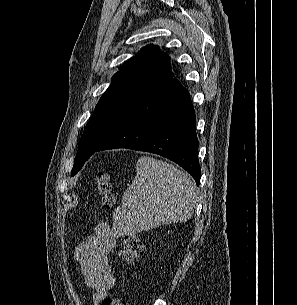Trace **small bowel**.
Listing matches in <instances>:
<instances>
[{"mask_svg":"<svg viewBox=\"0 0 297 305\" xmlns=\"http://www.w3.org/2000/svg\"><path fill=\"white\" fill-rule=\"evenodd\" d=\"M117 239V234L110 225L102 222L97 225L95 233L79 243L74 250V259L91 291L94 305H100L117 285V277L110 269V254Z\"/></svg>","mask_w":297,"mask_h":305,"instance_id":"small-bowel-1","label":"small bowel"}]
</instances>
